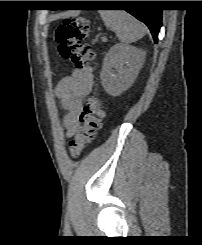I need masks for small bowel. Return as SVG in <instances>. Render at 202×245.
I'll return each mask as SVG.
<instances>
[{
    "instance_id": "obj_1",
    "label": "small bowel",
    "mask_w": 202,
    "mask_h": 245,
    "mask_svg": "<svg viewBox=\"0 0 202 245\" xmlns=\"http://www.w3.org/2000/svg\"><path fill=\"white\" fill-rule=\"evenodd\" d=\"M91 86L92 75L89 68L76 69L57 84L56 94L66 111L64 128L68 137H71L78 127V114L87 101Z\"/></svg>"
}]
</instances>
